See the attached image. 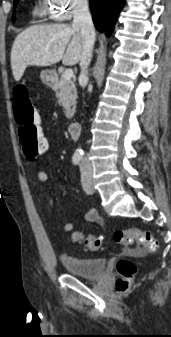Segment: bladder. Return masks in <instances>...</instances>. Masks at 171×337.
I'll list each match as a JSON object with an SVG mask.
<instances>
[{"label": "bladder", "instance_id": "1", "mask_svg": "<svg viewBox=\"0 0 171 337\" xmlns=\"http://www.w3.org/2000/svg\"><path fill=\"white\" fill-rule=\"evenodd\" d=\"M61 260L68 274L83 278L101 277L106 268V260L103 258H83L64 254Z\"/></svg>", "mask_w": 171, "mask_h": 337}]
</instances>
